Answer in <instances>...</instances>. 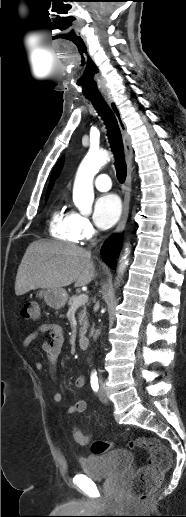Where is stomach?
Wrapping results in <instances>:
<instances>
[{"instance_id":"stomach-1","label":"stomach","mask_w":186,"mask_h":517,"mask_svg":"<svg viewBox=\"0 0 186 517\" xmlns=\"http://www.w3.org/2000/svg\"><path fill=\"white\" fill-rule=\"evenodd\" d=\"M37 295L40 299H44L45 303L49 307L54 309H61L62 307H64L68 298L67 292L63 288L41 289Z\"/></svg>"}]
</instances>
